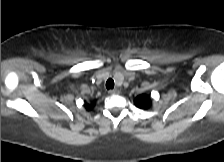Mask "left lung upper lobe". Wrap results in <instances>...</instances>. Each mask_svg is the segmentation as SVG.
<instances>
[{
  "label": "left lung upper lobe",
  "instance_id": "obj_1",
  "mask_svg": "<svg viewBox=\"0 0 224 162\" xmlns=\"http://www.w3.org/2000/svg\"><path fill=\"white\" fill-rule=\"evenodd\" d=\"M135 104L137 107L142 109H147L151 105L150 96L147 95H140L135 99Z\"/></svg>",
  "mask_w": 224,
  "mask_h": 162
}]
</instances>
